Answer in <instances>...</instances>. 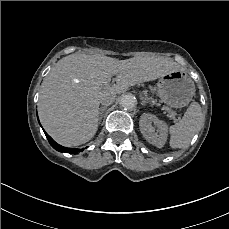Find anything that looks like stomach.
Masks as SVG:
<instances>
[{"instance_id":"stomach-1","label":"stomach","mask_w":229,"mask_h":229,"mask_svg":"<svg viewBox=\"0 0 229 229\" xmlns=\"http://www.w3.org/2000/svg\"><path fill=\"white\" fill-rule=\"evenodd\" d=\"M157 95L169 107L183 108L195 95V84L186 71L174 70L157 83Z\"/></svg>"}]
</instances>
